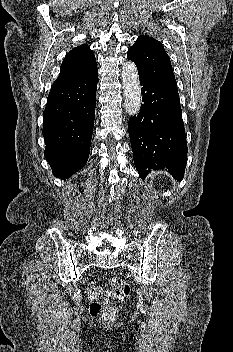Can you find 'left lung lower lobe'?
I'll list each match as a JSON object with an SVG mask.
<instances>
[{"instance_id":"obj_1","label":"left lung lower lobe","mask_w":233,"mask_h":352,"mask_svg":"<svg viewBox=\"0 0 233 352\" xmlns=\"http://www.w3.org/2000/svg\"><path fill=\"white\" fill-rule=\"evenodd\" d=\"M140 111L128 122L134 164L144 179L149 169H165L181 181L187 143L178 92L139 73Z\"/></svg>"}]
</instances>
